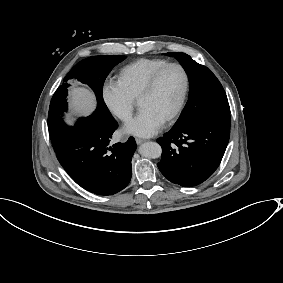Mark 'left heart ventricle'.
<instances>
[{"mask_svg":"<svg viewBox=\"0 0 283 283\" xmlns=\"http://www.w3.org/2000/svg\"><path fill=\"white\" fill-rule=\"evenodd\" d=\"M183 86L181 70L171 67L160 77L154 91L139 102V107L147 108L165 119L176 107Z\"/></svg>","mask_w":283,"mask_h":283,"instance_id":"left-heart-ventricle-1","label":"left heart ventricle"}]
</instances>
